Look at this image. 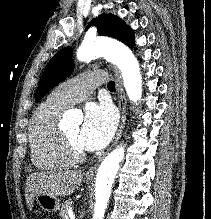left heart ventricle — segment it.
I'll return each mask as SVG.
<instances>
[{"instance_id":"b2bd125f","label":"left heart ventricle","mask_w":211,"mask_h":219,"mask_svg":"<svg viewBox=\"0 0 211 219\" xmlns=\"http://www.w3.org/2000/svg\"><path fill=\"white\" fill-rule=\"evenodd\" d=\"M81 127L80 124L71 125L65 129V133L70 137V139L81 149H83L79 142Z\"/></svg>"}]
</instances>
